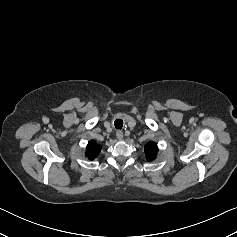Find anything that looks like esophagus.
Here are the masks:
<instances>
[{
    "instance_id": "obj_1",
    "label": "esophagus",
    "mask_w": 237,
    "mask_h": 237,
    "mask_svg": "<svg viewBox=\"0 0 237 237\" xmlns=\"http://www.w3.org/2000/svg\"><path fill=\"white\" fill-rule=\"evenodd\" d=\"M116 136H117V138H118L119 140H121V139L123 138V132H122L121 130H118V131L116 132Z\"/></svg>"
}]
</instances>
